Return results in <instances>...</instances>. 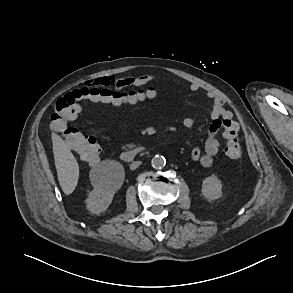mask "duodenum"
Instances as JSON below:
<instances>
[{
  "label": "duodenum",
  "instance_id": "1",
  "mask_svg": "<svg viewBox=\"0 0 293 293\" xmlns=\"http://www.w3.org/2000/svg\"><path fill=\"white\" fill-rule=\"evenodd\" d=\"M144 151L143 147H136L133 149L125 150L120 153V159L126 163H130L135 160V158Z\"/></svg>",
  "mask_w": 293,
  "mask_h": 293
}]
</instances>
